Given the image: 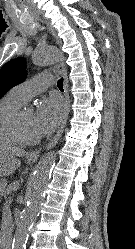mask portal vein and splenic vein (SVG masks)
<instances>
[{
  "label": "portal vein and splenic vein",
  "instance_id": "portal-vein-and-splenic-vein-1",
  "mask_svg": "<svg viewBox=\"0 0 135 249\" xmlns=\"http://www.w3.org/2000/svg\"><path fill=\"white\" fill-rule=\"evenodd\" d=\"M9 201H10V202L13 201V197H12V196L9 197Z\"/></svg>",
  "mask_w": 135,
  "mask_h": 249
}]
</instances>
